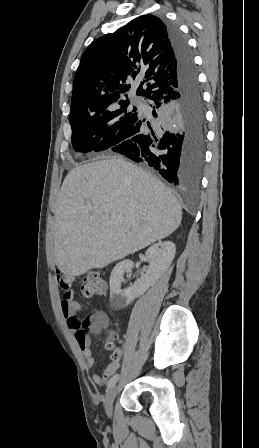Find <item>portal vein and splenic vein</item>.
Instances as JSON below:
<instances>
[{"mask_svg": "<svg viewBox=\"0 0 259 448\" xmlns=\"http://www.w3.org/2000/svg\"><path fill=\"white\" fill-rule=\"evenodd\" d=\"M101 218L102 220H108L109 214H102Z\"/></svg>", "mask_w": 259, "mask_h": 448, "instance_id": "18ae733b", "label": "portal vein and splenic vein"}]
</instances>
